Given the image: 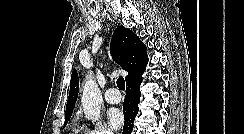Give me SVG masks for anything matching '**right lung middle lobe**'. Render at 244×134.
Returning <instances> with one entry per match:
<instances>
[{
  "label": "right lung middle lobe",
  "instance_id": "1",
  "mask_svg": "<svg viewBox=\"0 0 244 134\" xmlns=\"http://www.w3.org/2000/svg\"><path fill=\"white\" fill-rule=\"evenodd\" d=\"M71 115L65 116V125L67 124L68 120L70 119Z\"/></svg>",
  "mask_w": 244,
  "mask_h": 134
}]
</instances>
